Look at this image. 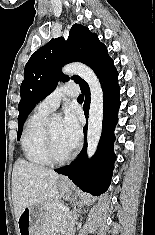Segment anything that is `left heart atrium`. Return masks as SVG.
Segmentation results:
<instances>
[{
	"label": "left heart atrium",
	"mask_w": 155,
	"mask_h": 235,
	"mask_svg": "<svg viewBox=\"0 0 155 235\" xmlns=\"http://www.w3.org/2000/svg\"><path fill=\"white\" fill-rule=\"evenodd\" d=\"M61 136L70 150L77 146L81 137V128L78 117L74 112L68 111L65 113L61 124Z\"/></svg>",
	"instance_id": "1"
}]
</instances>
